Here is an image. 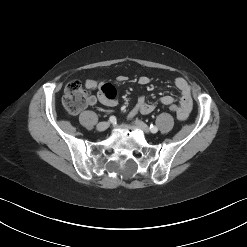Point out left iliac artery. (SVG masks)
Wrapping results in <instances>:
<instances>
[{
  "instance_id": "left-iliac-artery-1",
  "label": "left iliac artery",
  "mask_w": 247,
  "mask_h": 247,
  "mask_svg": "<svg viewBox=\"0 0 247 247\" xmlns=\"http://www.w3.org/2000/svg\"><path fill=\"white\" fill-rule=\"evenodd\" d=\"M150 131L152 133H156L158 131V128L156 126H154L153 124L150 125Z\"/></svg>"
}]
</instances>
